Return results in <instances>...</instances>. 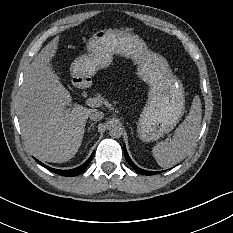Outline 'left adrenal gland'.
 <instances>
[{
	"instance_id": "left-adrenal-gland-1",
	"label": "left adrenal gland",
	"mask_w": 233,
	"mask_h": 233,
	"mask_svg": "<svg viewBox=\"0 0 233 233\" xmlns=\"http://www.w3.org/2000/svg\"><path fill=\"white\" fill-rule=\"evenodd\" d=\"M131 134H133V129L131 128Z\"/></svg>"
}]
</instances>
